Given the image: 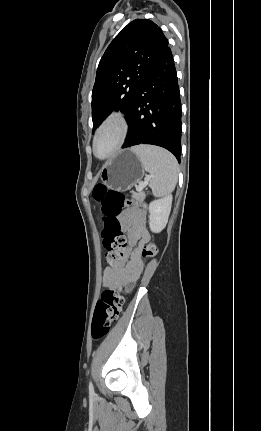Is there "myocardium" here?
<instances>
[{"instance_id":"1","label":"myocardium","mask_w":261,"mask_h":431,"mask_svg":"<svg viewBox=\"0 0 261 431\" xmlns=\"http://www.w3.org/2000/svg\"><path fill=\"white\" fill-rule=\"evenodd\" d=\"M110 126H116L118 129V139L113 147V149L104 156H99L96 153V142L103 130ZM129 125L124 114L120 112H111L109 115L105 117V119L100 123L98 128L96 129L93 139H92V151L95 157L101 160H105L114 156L124 145L125 140L128 135Z\"/></svg>"}]
</instances>
